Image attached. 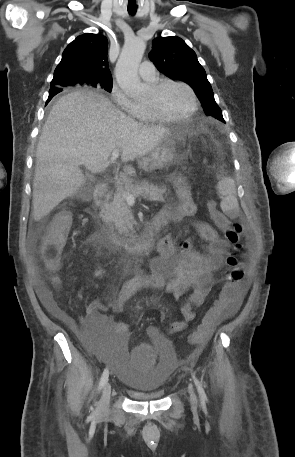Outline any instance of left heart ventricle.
<instances>
[{
  "label": "left heart ventricle",
  "mask_w": 295,
  "mask_h": 457,
  "mask_svg": "<svg viewBox=\"0 0 295 457\" xmlns=\"http://www.w3.org/2000/svg\"><path fill=\"white\" fill-rule=\"evenodd\" d=\"M146 104L154 105L166 117H179L190 110L192 100L185 88L169 85L160 92H155L152 89Z\"/></svg>",
  "instance_id": "left-heart-ventricle-1"
}]
</instances>
